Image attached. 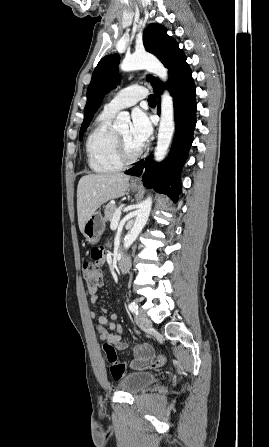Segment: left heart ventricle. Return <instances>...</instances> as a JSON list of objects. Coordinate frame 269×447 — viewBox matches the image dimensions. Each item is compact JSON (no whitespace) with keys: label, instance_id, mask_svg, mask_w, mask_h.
<instances>
[{"label":"left heart ventricle","instance_id":"left-heart-ventricle-1","mask_svg":"<svg viewBox=\"0 0 269 447\" xmlns=\"http://www.w3.org/2000/svg\"><path fill=\"white\" fill-rule=\"evenodd\" d=\"M121 140L125 143L126 147L131 153H136L139 151L142 147V145L135 142L131 137V130L130 128L123 129L119 132H117Z\"/></svg>","mask_w":269,"mask_h":447}]
</instances>
